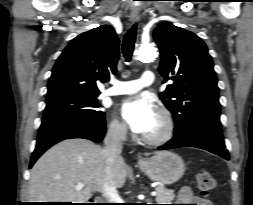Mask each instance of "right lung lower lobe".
Segmentation results:
<instances>
[{"label": "right lung lower lobe", "mask_w": 253, "mask_h": 205, "mask_svg": "<svg viewBox=\"0 0 253 205\" xmlns=\"http://www.w3.org/2000/svg\"><path fill=\"white\" fill-rule=\"evenodd\" d=\"M106 123L102 120H85L71 117L43 118L29 167L51 146L71 138H84L94 142L102 141Z\"/></svg>", "instance_id": "98d812e1"}]
</instances>
